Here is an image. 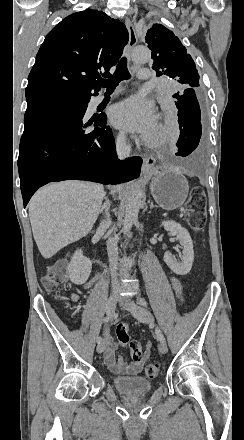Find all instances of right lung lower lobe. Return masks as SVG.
Returning a JSON list of instances; mask_svg holds the SVG:
<instances>
[{"label":"right lung lower lobe","mask_w":244,"mask_h":440,"mask_svg":"<svg viewBox=\"0 0 244 440\" xmlns=\"http://www.w3.org/2000/svg\"><path fill=\"white\" fill-rule=\"evenodd\" d=\"M86 109L50 103L27 105L18 157L24 207L49 182L118 184L140 175L142 159L118 160L111 129L105 128L106 116L85 123Z\"/></svg>","instance_id":"1"}]
</instances>
